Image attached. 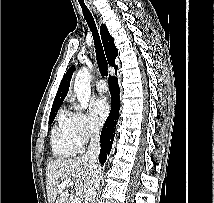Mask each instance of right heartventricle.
Segmentation results:
<instances>
[{
  "mask_svg": "<svg viewBox=\"0 0 214 203\" xmlns=\"http://www.w3.org/2000/svg\"><path fill=\"white\" fill-rule=\"evenodd\" d=\"M51 145L53 154L58 158L73 157L83 149L82 145L74 139L65 125L62 115L58 124L52 130Z\"/></svg>",
  "mask_w": 214,
  "mask_h": 203,
  "instance_id": "obj_1",
  "label": "right heart ventricle"
}]
</instances>
